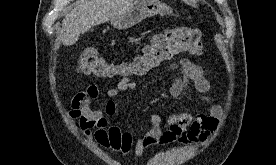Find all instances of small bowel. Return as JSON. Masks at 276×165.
Returning <instances> with one entry per match:
<instances>
[{"instance_id":"c3829d8e","label":"small bowel","mask_w":276,"mask_h":165,"mask_svg":"<svg viewBox=\"0 0 276 165\" xmlns=\"http://www.w3.org/2000/svg\"><path fill=\"white\" fill-rule=\"evenodd\" d=\"M163 69L166 72L178 73L170 87V94L173 98L182 99L189 85L192 84L198 92L204 94L203 99L206 102L213 103V99L208 95L210 83L200 66L183 58L166 63ZM135 88L136 83L124 77L115 87L106 89L105 95L108 100L103 112L89 106L90 102L97 99L100 94L97 85H90L74 96L69 115L78 120L79 126L89 139L103 148L126 155L134 147L138 158L149 146L154 144L167 145L176 141L184 144L204 142L218 127L219 115L222 110L220 105L213 103L209 115L191 116L185 111H179L163 118L159 114H154L151 117L149 130L134 140L130 132L122 131L119 127L111 125L108 117L116 113L114 98L121 92Z\"/></svg>"}]
</instances>
